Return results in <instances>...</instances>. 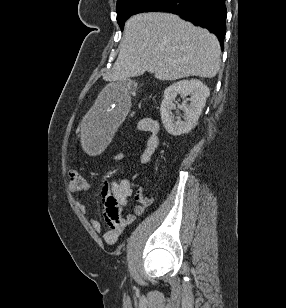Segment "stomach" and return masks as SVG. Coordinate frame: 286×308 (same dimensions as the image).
I'll list each match as a JSON object with an SVG mask.
<instances>
[{"mask_svg":"<svg viewBox=\"0 0 286 308\" xmlns=\"http://www.w3.org/2000/svg\"><path fill=\"white\" fill-rule=\"evenodd\" d=\"M132 81L122 79L115 84L99 89L93 109H86L83 122H80L82 141L80 149H85V156H100V149L106 148L114 132L122 123L124 111L128 110L129 94Z\"/></svg>","mask_w":286,"mask_h":308,"instance_id":"obj_1","label":"stomach"}]
</instances>
